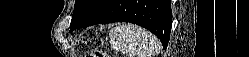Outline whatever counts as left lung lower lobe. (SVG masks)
Instances as JSON below:
<instances>
[{"mask_svg": "<svg viewBox=\"0 0 249 57\" xmlns=\"http://www.w3.org/2000/svg\"><path fill=\"white\" fill-rule=\"evenodd\" d=\"M171 20L170 0H108L94 16L79 27L98 23L131 22L154 33L166 48Z\"/></svg>", "mask_w": 249, "mask_h": 57, "instance_id": "obj_1", "label": "left lung lower lobe"}]
</instances>
